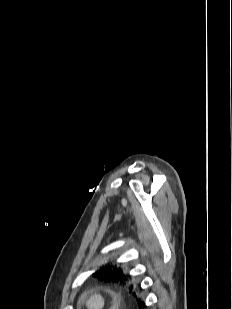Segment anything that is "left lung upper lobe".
<instances>
[{
  "mask_svg": "<svg viewBox=\"0 0 232 309\" xmlns=\"http://www.w3.org/2000/svg\"><path fill=\"white\" fill-rule=\"evenodd\" d=\"M92 276L103 280L104 282H115V283H122L126 284L128 281L129 276L126 272L123 271L121 267H118L116 264L108 263L103 265L99 269H97ZM130 293L134 296L137 300L138 305H140L143 301L138 298L140 290L134 289L133 287L130 288Z\"/></svg>",
  "mask_w": 232,
  "mask_h": 309,
  "instance_id": "left-lung-upper-lobe-1",
  "label": "left lung upper lobe"
}]
</instances>
